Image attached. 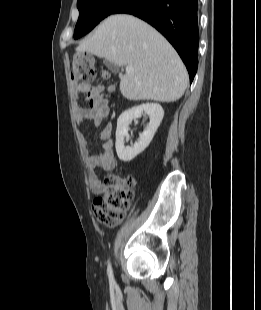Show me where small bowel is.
I'll list each match as a JSON object with an SVG mask.
<instances>
[{
  "label": "small bowel",
  "instance_id": "c3829d8e",
  "mask_svg": "<svg viewBox=\"0 0 261 310\" xmlns=\"http://www.w3.org/2000/svg\"><path fill=\"white\" fill-rule=\"evenodd\" d=\"M103 86L76 85L73 88V94L79 96L83 94L88 102V107L78 106L75 109L76 120L79 123L89 121L94 128L101 125L103 120L109 114L108 100L103 93ZM112 124H107L100 132L99 139L102 145L96 153H92L88 143L82 133L79 134V144L82 156L86 165L89 187L92 193L102 194L105 190L104 184L99 179L96 170L103 169L112 171L115 168V159L113 154Z\"/></svg>",
  "mask_w": 261,
  "mask_h": 310
}]
</instances>
